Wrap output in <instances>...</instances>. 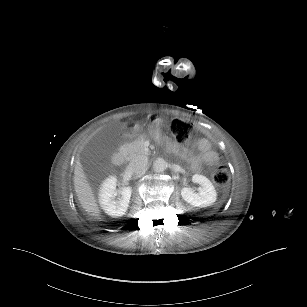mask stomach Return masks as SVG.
<instances>
[{"instance_id": "0dacf381", "label": "stomach", "mask_w": 307, "mask_h": 307, "mask_svg": "<svg viewBox=\"0 0 307 307\" xmlns=\"http://www.w3.org/2000/svg\"><path fill=\"white\" fill-rule=\"evenodd\" d=\"M156 124V121L154 120V121H151V122H149V126H154ZM142 125L141 124H139V123H136V124H134V130L135 131H140L141 129H142Z\"/></svg>"}]
</instances>
